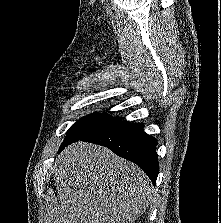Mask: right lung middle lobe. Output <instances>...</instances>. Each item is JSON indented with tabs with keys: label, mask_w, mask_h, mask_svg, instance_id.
Instances as JSON below:
<instances>
[{
	"label": "right lung middle lobe",
	"mask_w": 221,
	"mask_h": 223,
	"mask_svg": "<svg viewBox=\"0 0 221 223\" xmlns=\"http://www.w3.org/2000/svg\"><path fill=\"white\" fill-rule=\"evenodd\" d=\"M119 120H121V118H112L106 114H99L96 112L89 114L71 126V128L67 131V135L61 144L60 149L76 139L82 138L99 129H104L118 122Z\"/></svg>",
	"instance_id": "1"
}]
</instances>
